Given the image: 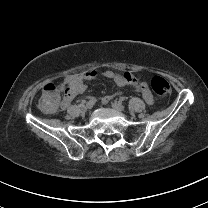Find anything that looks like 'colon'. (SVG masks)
Segmentation results:
<instances>
[{
    "instance_id": "5ec220e1",
    "label": "colon",
    "mask_w": 208,
    "mask_h": 208,
    "mask_svg": "<svg viewBox=\"0 0 208 208\" xmlns=\"http://www.w3.org/2000/svg\"><path fill=\"white\" fill-rule=\"evenodd\" d=\"M150 85L155 94L159 97H167L171 94L169 82L161 76H154L150 80ZM70 93L71 88L66 83H60L58 85L55 83H48L44 87V96L41 101V106L47 112L58 111L63 106L61 98L68 97Z\"/></svg>"
}]
</instances>
